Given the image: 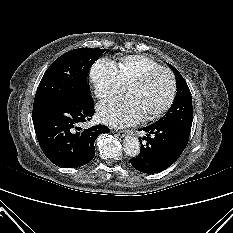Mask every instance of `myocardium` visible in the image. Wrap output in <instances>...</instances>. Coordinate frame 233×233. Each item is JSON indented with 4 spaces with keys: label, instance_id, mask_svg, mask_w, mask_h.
Here are the masks:
<instances>
[{
    "label": "myocardium",
    "instance_id": "obj_1",
    "mask_svg": "<svg viewBox=\"0 0 233 233\" xmlns=\"http://www.w3.org/2000/svg\"><path fill=\"white\" fill-rule=\"evenodd\" d=\"M157 72H164L168 75L170 79V93H169V96L166 102L159 109L145 115L147 119H155V118L160 117L173 104L175 96H176V91H177V82H176L175 76L172 73V71H170L169 69L165 67L160 66V67L150 68L144 71L143 73H141L140 75H138L137 77H135L129 82V84H142L146 82L153 74Z\"/></svg>",
    "mask_w": 233,
    "mask_h": 233
}]
</instances>
